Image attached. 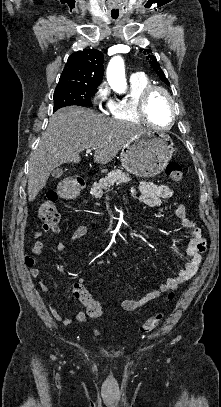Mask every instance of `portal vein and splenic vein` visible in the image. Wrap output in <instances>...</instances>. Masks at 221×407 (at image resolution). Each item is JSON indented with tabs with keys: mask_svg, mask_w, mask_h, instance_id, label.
Here are the masks:
<instances>
[{
	"mask_svg": "<svg viewBox=\"0 0 221 407\" xmlns=\"http://www.w3.org/2000/svg\"><path fill=\"white\" fill-rule=\"evenodd\" d=\"M91 151H92V149H87L86 153L89 154V153H91Z\"/></svg>",
	"mask_w": 221,
	"mask_h": 407,
	"instance_id": "1",
	"label": "portal vein and splenic vein"
}]
</instances>
